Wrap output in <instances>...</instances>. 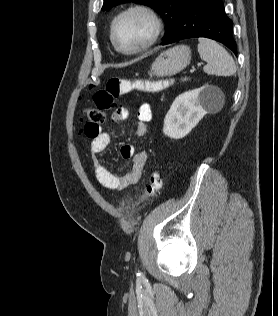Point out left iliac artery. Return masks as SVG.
<instances>
[{"mask_svg": "<svg viewBox=\"0 0 278 316\" xmlns=\"http://www.w3.org/2000/svg\"><path fill=\"white\" fill-rule=\"evenodd\" d=\"M138 276H141V272H138V274H137Z\"/></svg>", "mask_w": 278, "mask_h": 316, "instance_id": "obj_1", "label": "left iliac artery"}]
</instances>
